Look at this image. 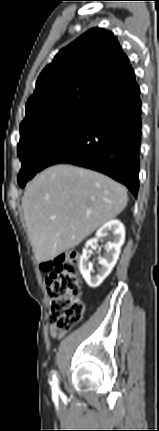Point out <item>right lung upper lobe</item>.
Segmentation results:
<instances>
[{
    "instance_id": "1",
    "label": "right lung upper lobe",
    "mask_w": 159,
    "mask_h": 431,
    "mask_svg": "<svg viewBox=\"0 0 159 431\" xmlns=\"http://www.w3.org/2000/svg\"><path fill=\"white\" fill-rule=\"evenodd\" d=\"M137 87L117 38L93 28L60 50L41 72L20 127L58 112L89 115Z\"/></svg>"
}]
</instances>
